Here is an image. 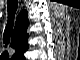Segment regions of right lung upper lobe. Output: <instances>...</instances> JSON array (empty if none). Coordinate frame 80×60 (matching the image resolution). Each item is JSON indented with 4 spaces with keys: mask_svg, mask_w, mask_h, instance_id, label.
<instances>
[{
    "mask_svg": "<svg viewBox=\"0 0 80 60\" xmlns=\"http://www.w3.org/2000/svg\"><path fill=\"white\" fill-rule=\"evenodd\" d=\"M27 27L28 13L27 11L23 10L16 19L11 42V46L16 49V55L23 56V53L28 48V34L26 33Z\"/></svg>",
    "mask_w": 80,
    "mask_h": 60,
    "instance_id": "cb5924a9",
    "label": "right lung upper lobe"
}]
</instances>
